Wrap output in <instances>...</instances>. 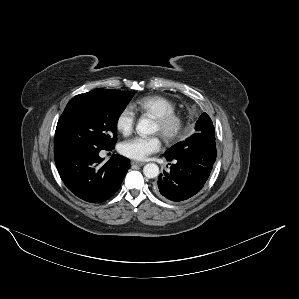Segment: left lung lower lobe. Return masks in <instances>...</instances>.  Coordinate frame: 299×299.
<instances>
[{
  "label": "left lung lower lobe",
  "mask_w": 299,
  "mask_h": 299,
  "mask_svg": "<svg viewBox=\"0 0 299 299\" xmlns=\"http://www.w3.org/2000/svg\"><path fill=\"white\" fill-rule=\"evenodd\" d=\"M208 152L204 146H197L165 157L173 163L169 164V171H163L159 175L155 185L156 194L178 202L198 193L206 183L215 162Z\"/></svg>",
  "instance_id": "obj_1"
}]
</instances>
